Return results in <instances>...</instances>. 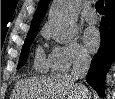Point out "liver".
<instances>
[{
  "instance_id": "obj_1",
  "label": "liver",
  "mask_w": 115,
  "mask_h": 99,
  "mask_svg": "<svg viewBox=\"0 0 115 99\" xmlns=\"http://www.w3.org/2000/svg\"><path fill=\"white\" fill-rule=\"evenodd\" d=\"M81 87L70 74L32 77L16 83L12 99H90Z\"/></svg>"
}]
</instances>
